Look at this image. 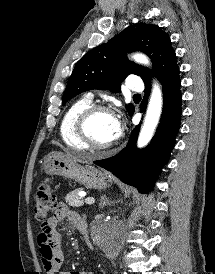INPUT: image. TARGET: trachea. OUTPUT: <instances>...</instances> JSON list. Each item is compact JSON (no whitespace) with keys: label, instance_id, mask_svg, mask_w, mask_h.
I'll return each mask as SVG.
<instances>
[{"label":"trachea","instance_id":"trachea-1","mask_svg":"<svg viewBox=\"0 0 215 274\" xmlns=\"http://www.w3.org/2000/svg\"><path fill=\"white\" fill-rule=\"evenodd\" d=\"M133 97H141L140 94H135Z\"/></svg>","mask_w":215,"mask_h":274}]
</instances>
